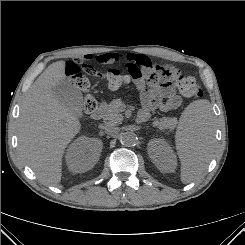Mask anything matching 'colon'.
<instances>
[{
	"instance_id": "colon-1",
	"label": "colon",
	"mask_w": 245,
	"mask_h": 245,
	"mask_svg": "<svg viewBox=\"0 0 245 245\" xmlns=\"http://www.w3.org/2000/svg\"><path fill=\"white\" fill-rule=\"evenodd\" d=\"M91 58V55H85L68 63L66 66L67 77L78 90L85 93L83 109L86 113L93 112L97 106V102L95 98L88 93L90 90V82L82 73V70L90 75L105 78L110 89L120 88L130 79V77H134L139 74V69L130 63L126 64L128 74H124L117 69H110L106 72H101L87 63ZM149 79L152 82L163 80L168 81L185 97L199 98L202 96V89L199 81L193 77L185 76L178 68L173 66L154 64L151 69Z\"/></svg>"
}]
</instances>
